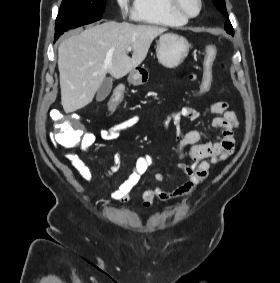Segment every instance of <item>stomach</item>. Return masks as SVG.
<instances>
[{"label": "stomach", "mask_w": 280, "mask_h": 283, "mask_svg": "<svg viewBox=\"0 0 280 283\" xmlns=\"http://www.w3.org/2000/svg\"><path fill=\"white\" fill-rule=\"evenodd\" d=\"M190 44L187 39L176 33H166L157 41L156 55L159 63L166 68L178 67L187 57ZM146 69H133L128 81L137 86L143 84L146 78Z\"/></svg>", "instance_id": "obj_1"}]
</instances>
